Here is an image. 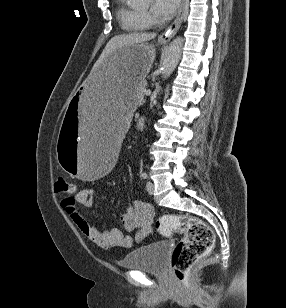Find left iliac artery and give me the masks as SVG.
Listing matches in <instances>:
<instances>
[{"label": "left iliac artery", "mask_w": 286, "mask_h": 308, "mask_svg": "<svg viewBox=\"0 0 286 308\" xmlns=\"http://www.w3.org/2000/svg\"><path fill=\"white\" fill-rule=\"evenodd\" d=\"M141 177H142L143 179H147L148 175H147V173L143 172V173L141 174Z\"/></svg>", "instance_id": "1"}]
</instances>
